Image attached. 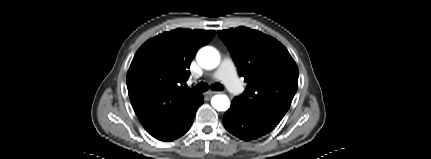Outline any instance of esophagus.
<instances>
[{
	"label": "esophagus",
	"instance_id": "34e87169",
	"mask_svg": "<svg viewBox=\"0 0 431 159\" xmlns=\"http://www.w3.org/2000/svg\"><path fill=\"white\" fill-rule=\"evenodd\" d=\"M218 92H216V91H208L207 93H206V95L207 96H209V97H211L212 95H215V94H217Z\"/></svg>",
	"mask_w": 431,
	"mask_h": 159
}]
</instances>
